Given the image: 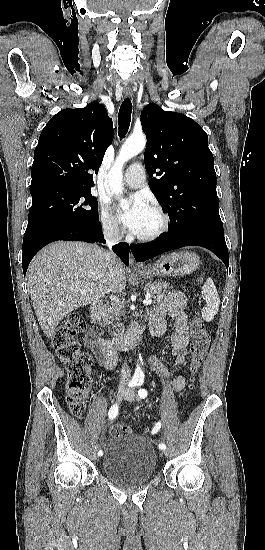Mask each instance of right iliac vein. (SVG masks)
<instances>
[{
    "instance_id": "obj_1",
    "label": "right iliac vein",
    "mask_w": 265,
    "mask_h": 550,
    "mask_svg": "<svg viewBox=\"0 0 265 550\" xmlns=\"http://www.w3.org/2000/svg\"><path fill=\"white\" fill-rule=\"evenodd\" d=\"M126 394V390L124 387H120L119 390H118V394H117V397H118V400H121ZM93 458H96L97 457V451L96 449L94 450L93 454H92Z\"/></svg>"
}]
</instances>
